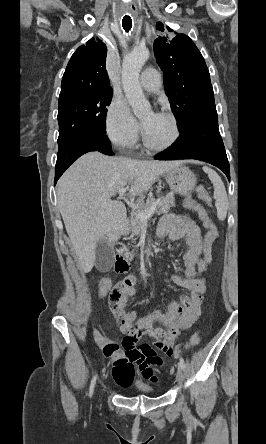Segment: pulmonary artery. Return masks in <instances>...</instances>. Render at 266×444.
<instances>
[{"label": "pulmonary artery", "mask_w": 266, "mask_h": 444, "mask_svg": "<svg viewBox=\"0 0 266 444\" xmlns=\"http://www.w3.org/2000/svg\"><path fill=\"white\" fill-rule=\"evenodd\" d=\"M140 85L147 91H156L161 86V75L155 68L145 69L140 76Z\"/></svg>", "instance_id": "pulmonary-artery-1"}]
</instances>
